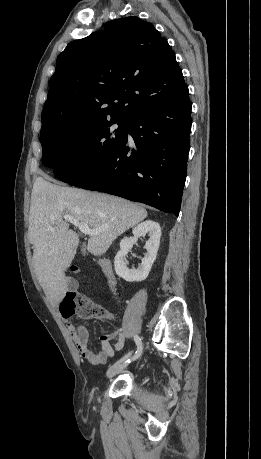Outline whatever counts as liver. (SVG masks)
I'll list each match as a JSON object with an SVG mask.
<instances>
[{
    "mask_svg": "<svg viewBox=\"0 0 261 459\" xmlns=\"http://www.w3.org/2000/svg\"><path fill=\"white\" fill-rule=\"evenodd\" d=\"M37 177L31 194L28 237L33 245V264L45 294L58 303L68 291L65 271L79 245L64 215L98 230L90 235L87 250L103 255L113 241L147 217L142 206L109 194L59 186Z\"/></svg>",
    "mask_w": 261,
    "mask_h": 459,
    "instance_id": "1",
    "label": "liver"
}]
</instances>
